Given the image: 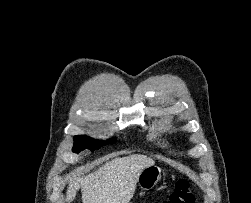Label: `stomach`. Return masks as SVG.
<instances>
[{
  "label": "stomach",
  "mask_w": 251,
  "mask_h": 203,
  "mask_svg": "<svg viewBox=\"0 0 251 203\" xmlns=\"http://www.w3.org/2000/svg\"><path fill=\"white\" fill-rule=\"evenodd\" d=\"M161 179V168L156 165H151L144 168L137 179L138 186L144 190L149 191L153 189Z\"/></svg>",
  "instance_id": "stomach-1"
}]
</instances>
